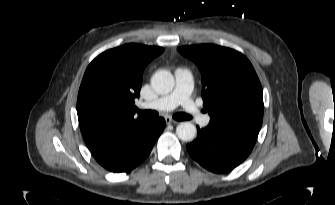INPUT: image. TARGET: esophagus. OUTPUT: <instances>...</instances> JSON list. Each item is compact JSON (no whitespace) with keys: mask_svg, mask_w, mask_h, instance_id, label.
<instances>
[{"mask_svg":"<svg viewBox=\"0 0 335 205\" xmlns=\"http://www.w3.org/2000/svg\"><path fill=\"white\" fill-rule=\"evenodd\" d=\"M165 121H166V124H171V123L177 124L178 123L176 120L172 119L169 116L165 117Z\"/></svg>","mask_w":335,"mask_h":205,"instance_id":"obj_1","label":"esophagus"}]
</instances>
